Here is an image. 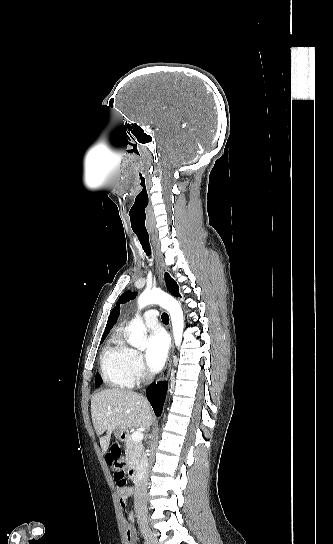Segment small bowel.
I'll return each instance as SVG.
<instances>
[{"label":"small bowel","instance_id":"obj_1","mask_svg":"<svg viewBox=\"0 0 333 544\" xmlns=\"http://www.w3.org/2000/svg\"><path fill=\"white\" fill-rule=\"evenodd\" d=\"M120 502L124 506L128 499L132 497L134 494V488L133 487H118L117 489ZM128 526H127V542L128 544H136L137 541V532L134 528L132 522H133V514L130 513L127 517Z\"/></svg>","mask_w":333,"mask_h":544}]
</instances>
